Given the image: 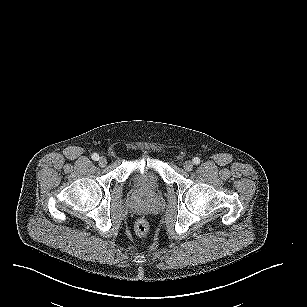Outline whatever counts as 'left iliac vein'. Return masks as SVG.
Here are the masks:
<instances>
[{
    "label": "left iliac vein",
    "mask_w": 307,
    "mask_h": 307,
    "mask_svg": "<svg viewBox=\"0 0 307 307\" xmlns=\"http://www.w3.org/2000/svg\"><path fill=\"white\" fill-rule=\"evenodd\" d=\"M183 168L185 171L190 172L193 169V163L191 161H185L183 163Z\"/></svg>",
    "instance_id": "left-iliac-vein-1"
}]
</instances>
